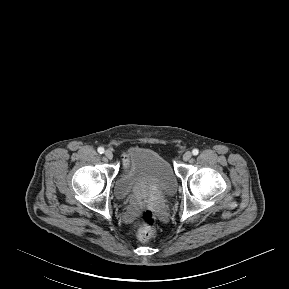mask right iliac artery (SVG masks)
Segmentation results:
<instances>
[{
	"label": "right iliac artery",
	"instance_id": "obj_1",
	"mask_svg": "<svg viewBox=\"0 0 289 289\" xmlns=\"http://www.w3.org/2000/svg\"><path fill=\"white\" fill-rule=\"evenodd\" d=\"M97 151H98L100 154H102V153H104V148H103V147H99V148L97 149Z\"/></svg>",
	"mask_w": 289,
	"mask_h": 289
}]
</instances>
